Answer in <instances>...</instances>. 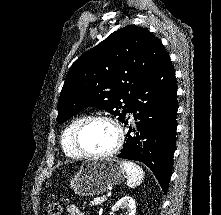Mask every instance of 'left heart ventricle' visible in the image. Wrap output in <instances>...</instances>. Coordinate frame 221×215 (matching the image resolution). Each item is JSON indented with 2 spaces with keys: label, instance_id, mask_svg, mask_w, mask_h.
<instances>
[{
  "label": "left heart ventricle",
  "instance_id": "b2bd125f",
  "mask_svg": "<svg viewBox=\"0 0 221 215\" xmlns=\"http://www.w3.org/2000/svg\"><path fill=\"white\" fill-rule=\"evenodd\" d=\"M116 141L113 126L106 121H95L83 132L81 144L91 153H103L110 150Z\"/></svg>",
  "mask_w": 221,
  "mask_h": 215
}]
</instances>
